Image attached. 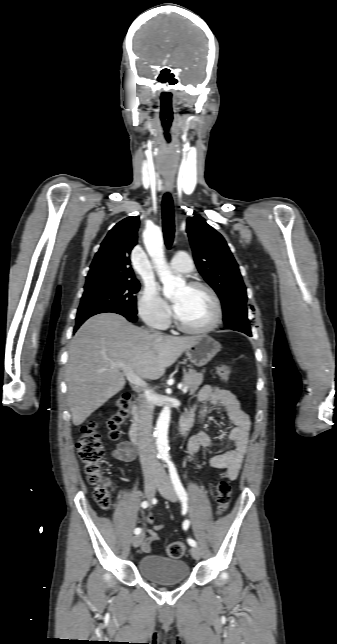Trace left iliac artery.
<instances>
[{
	"mask_svg": "<svg viewBox=\"0 0 337 644\" xmlns=\"http://www.w3.org/2000/svg\"><path fill=\"white\" fill-rule=\"evenodd\" d=\"M166 462H167L168 467H169L170 478H171L172 484L174 486V489L176 491V494L178 495V497L180 498V500L182 502L187 501L188 496H187V493H186V491H185V489H184V487H183V485H182V483L180 481V478H179V475H178L177 470L175 468V465L173 464V462L170 459H166ZM189 525H190L189 520H185L183 522V529L187 530ZM187 542L192 547L196 546V541L191 539V538H188Z\"/></svg>",
	"mask_w": 337,
	"mask_h": 644,
	"instance_id": "left-iliac-artery-1",
	"label": "left iliac artery"
}]
</instances>
